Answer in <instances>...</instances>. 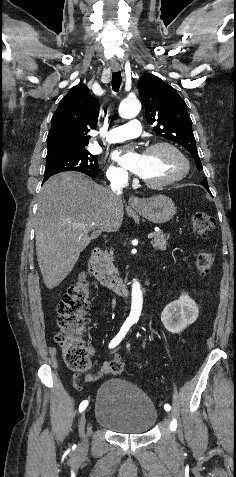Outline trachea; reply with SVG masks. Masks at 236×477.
Masks as SVG:
<instances>
[{"mask_svg":"<svg viewBox=\"0 0 236 477\" xmlns=\"http://www.w3.org/2000/svg\"><path fill=\"white\" fill-rule=\"evenodd\" d=\"M121 80H122L121 72L120 71L114 72L112 75V88L115 92L119 90L121 85Z\"/></svg>","mask_w":236,"mask_h":477,"instance_id":"1","label":"trachea"}]
</instances>
